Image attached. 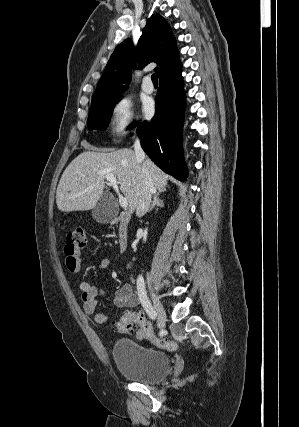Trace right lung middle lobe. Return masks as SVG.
<instances>
[{
    "label": "right lung middle lobe",
    "instance_id": "right-lung-middle-lobe-1",
    "mask_svg": "<svg viewBox=\"0 0 299 427\" xmlns=\"http://www.w3.org/2000/svg\"><path fill=\"white\" fill-rule=\"evenodd\" d=\"M121 97L122 96L120 95H114L93 100L89 110L88 128L90 130H105L109 123L114 106L121 100ZM135 126L136 123L132 124L129 129H132Z\"/></svg>",
    "mask_w": 299,
    "mask_h": 427
}]
</instances>
